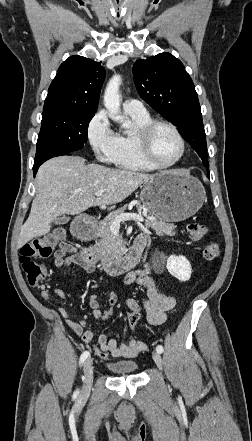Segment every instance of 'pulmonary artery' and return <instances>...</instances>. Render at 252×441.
Returning <instances> with one entry per match:
<instances>
[{
  "label": "pulmonary artery",
  "mask_w": 252,
  "mask_h": 441,
  "mask_svg": "<svg viewBox=\"0 0 252 441\" xmlns=\"http://www.w3.org/2000/svg\"><path fill=\"white\" fill-rule=\"evenodd\" d=\"M123 109L128 114L145 115L147 110L143 103L135 99H127L123 103Z\"/></svg>",
  "instance_id": "1"
}]
</instances>
